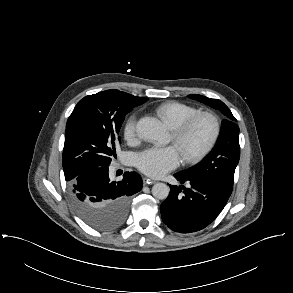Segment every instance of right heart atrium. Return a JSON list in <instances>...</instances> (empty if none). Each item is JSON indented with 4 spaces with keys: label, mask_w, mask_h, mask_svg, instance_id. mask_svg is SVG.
I'll return each instance as SVG.
<instances>
[{
    "label": "right heart atrium",
    "mask_w": 293,
    "mask_h": 293,
    "mask_svg": "<svg viewBox=\"0 0 293 293\" xmlns=\"http://www.w3.org/2000/svg\"><path fill=\"white\" fill-rule=\"evenodd\" d=\"M123 135L125 139L132 140L136 136V117L131 115L127 118L123 128Z\"/></svg>",
    "instance_id": "d8ad5b80"
}]
</instances>
